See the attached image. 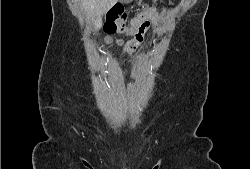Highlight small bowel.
I'll return each mask as SVG.
<instances>
[{
  "instance_id": "obj_1",
  "label": "small bowel",
  "mask_w": 250,
  "mask_h": 169,
  "mask_svg": "<svg viewBox=\"0 0 250 169\" xmlns=\"http://www.w3.org/2000/svg\"><path fill=\"white\" fill-rule=\"evenodd\" d=\"M138 22H139V19H137V18L132 21L130 28H128L126 30L127 34H130V35L134 34ZM105 41L108 43L111 41V38L107 37ZM118 42L123 45L122 55H125L127 53H131L132 51H134L138 47V44H136L134 42V39H133V41H128V42H124L122 40H119Z\"/></svg>"
}]
</instances>
